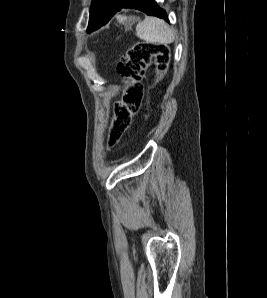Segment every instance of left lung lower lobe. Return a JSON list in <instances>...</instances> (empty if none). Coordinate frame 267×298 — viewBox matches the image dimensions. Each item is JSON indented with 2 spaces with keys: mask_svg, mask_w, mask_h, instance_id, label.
Wrapping results in <instances>:
<instances>
[{
  "mask_svg": "<svg viewBox=\"0 0 267 298\" xmlns=\"http://www.w3.org/2000/svg\"><path fill=\"white\" fill-rule=\"evenodd\" d=\"M122 8H134L143 11L147 15L165 18V20L168 21L164 10L159 8L154 0H117L106 9L101 10L98 14L90 17L87 32L91 33L106 24L115 13Z\"/></svg>",
  "mask_w": 267,
  "mask_h": 298,
  "instance_id": "0a47b994",
  "label": "left lung lower lobe"
}]
</instances>
